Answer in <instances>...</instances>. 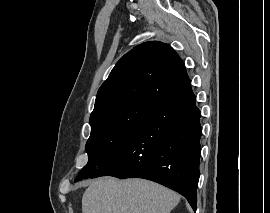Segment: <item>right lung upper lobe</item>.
Returning <instances> with one entry per match:
<instances>
[{"label":"right lung upper lobe","instance_id":"right-lung-upper-lobe-1","mask_svg":"<svg viewBox=\"0 0 270 213\" xmlns=\"http://www.w3.org/2000/svg\"><path fill=\"white\" fill-rule=\"evenodd\" d=\"M189 83L185 65L170 45L142 43L117 62L99 88L90 119L132 101L157 104Z\"/></svg>","mask_w":270,"mask_h":213}]
</instances>
